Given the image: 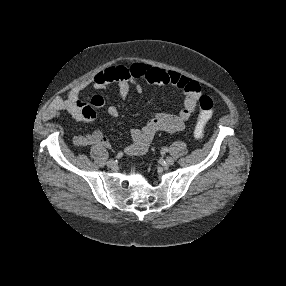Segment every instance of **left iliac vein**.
<instances>
[{"instance_id":"obj_1","label":"left iliac vein","mask_w":286,"mask_h":286,"mask_svg":"<svg viewBox=\"0 0 286 286\" xmlns=\"http://www.w3.org/2000/svg\"><path fill=\"white\" fill-rule=\"evenodd\" d=\"M165 162L168 164V165H173L174 164V159L172 157H167L165 159Z\"/></svg>"}]
</instances>
